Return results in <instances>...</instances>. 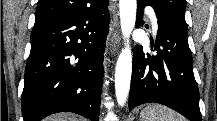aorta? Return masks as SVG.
Masks as SVG:
<instances>
[{
  "label": "aorta",
  "instance_id": "1",
  "mask_svg": "<svg viewBox=\"0 0 217 121\" xmlns=\"http://www.w3.org/2000/svg\"><path fill=\"white\" fill-rule=\"evenodd\" d=\"M136 9V0L119 1L121 30L124 39L127 41L118 57L115 69V95L120 106L125 104L130 90L132 53L129 46V37L135 26Z\"/></svg>",
  "mask_w": 217,
  "mask_h": 121
}]
</instances>
